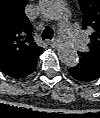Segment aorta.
Wrapping results in <instances>:
<instances>
[{"mask_svg": "<svg viewBox=\"0 0 100 118\" xmlns=\"http://www.w3.org/2000/svg\"><path fill=\"white\" fill-rule=\"evenodd\" d=\"M39 9L41 14L49 19H58L64 12L61 0H40ZM58 56L68 67L76 66L79 59L76 50L68 44H61L58 47Z\"/></svg>", "mask_w": 100, "mask_h": 118, "instance_id": "obj_1", "label": "aorta"}]
</instances>
